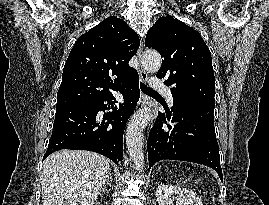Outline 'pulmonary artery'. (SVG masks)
Segmentation results:
<instances>
[{
	"mask_svg": "<svg viewBox=\"0 0 269 205\" xmlns=\"http://www.w3.org/2000/svg\"><path fill=\"white\" fill-rule=\"evenodd\" d=\"M149 85L151 88H153L155 90L162 91L167 96L169 104L173 105L172 93H171L170 89L165 86V84L163 83V81L161 79L156 78V77H151L149 79Z\"/></svg>",
	"mask_w": 269,
	"mask_h": 205,
	"instance_id": "1",
	"label": "pulmonary artery"
}]
</instances>
